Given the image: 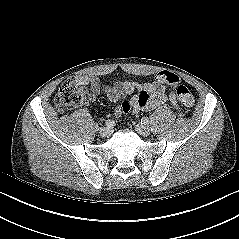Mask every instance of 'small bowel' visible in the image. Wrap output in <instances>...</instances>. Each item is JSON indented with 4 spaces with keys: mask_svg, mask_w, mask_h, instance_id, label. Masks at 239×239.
Returning <instances> with one entry per match:
<instances>
[{
    "mask_svg": "<svg viewBox=\"0 0 239 239\" xmlns=\"http://www.w3.org/2000/svg\"><path fill=\"white\" fill-rule=\"evenodd\" d=\"M76 81L90 88L91 102L95 101L101 93L113 103H118L123 96L129 95L135 112L151 111L165 103H170L176 110L180 109L175 94L172 91L168 92L166 87L157 81L140 83L127 80L104 85L98 77L88 75L78 76ZM120 112L117 106L115 113L119 115Z\"/></svg>",
    "mask_w": 239,
    "mask_h": 239,
    "instance_id": "obj_1",
    "label": "small bowel"
}]
</instances>
